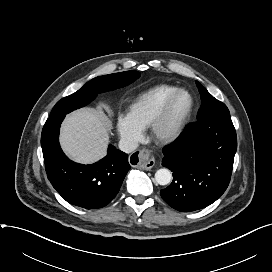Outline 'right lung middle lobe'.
<instances>
[{"label": "right lung middle lobe", "mask_w": 272, "mask_h": 272, "mask_svg": "<svg viewBox=\"0 0 272 272\" xmlns=\"http://www.w3.org/2000/svg\"><path fill=\"white\" fill-rule=\"evenodd\" d=\"M140 77L138 71H125L110 75L99 76L87 82L77 92L59 100L51 111L49 118L84 107L90 103L98 93L115 90L127 86Z\"/></svg>", "instance_id": "right-lung-middle-lobe-1"}]
</instances>
